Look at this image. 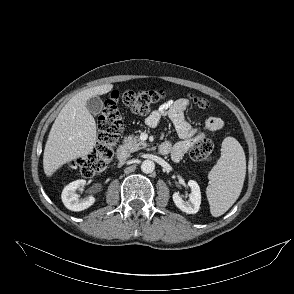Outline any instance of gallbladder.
I'll use <instances>...</instances> for the list:
<instances>
[{
	"instance_id": "bac80fb5",
	"label": "gallbladder",
	"mask_w": 294,
	"mask_h": 294,
	"mask_svg": "<svg viewBox=\"0 0 294 294\" xmlns=\"http://www.w3.org/2000/svg\"><path fill=\"white\" fill-rule=\"evenodd\" d=\"M86 108L88 111L93 114L97 115L102 111L103 108V102L98 96H93L86 102Z\"/></svg>"
}]
</instances>
